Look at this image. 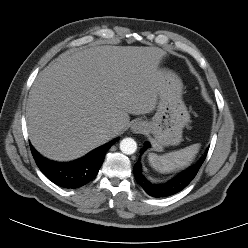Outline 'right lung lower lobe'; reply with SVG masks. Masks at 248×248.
<instances>
[{
	"mask_svg": "<svg viewBox=\"0 0 248 248\" xmlns=\"http://www.w3.org/2000/svg\"><path fill=\"white\" fill-rule=\"evenodd\" d=\"M117 140H119V138L94 149L78 160L67 163L48 160L41 156L31 144L30 148L37 166L48 179L64 188H78L96 177L107 150Z\"/></svg>",
	"mask_w": 248,
	"mask_h": 248,
	"instance_id": "1",
	"label": "right lung lower lobe"
}]
</instances>
